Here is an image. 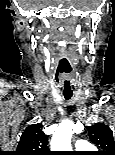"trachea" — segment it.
Returning <instances> with one entry per match:
<instances>
[{
  "label": "trachea",
  "mask_w": 115,
  "mask_h": 155,
  "mask_svg": "<svg viewBox=\"0 0 115 155\" xmlns=\"http://www.w3.org/2000/svg\"><path fill=\"white\" fill-rule=\"evenodd\" d=\"M62 90V96H64L66 100L71 99V97L73 96V90H71V87H62Z\"/></svg>",
  "instance_id": "trachea-1"
}]
</instances>
